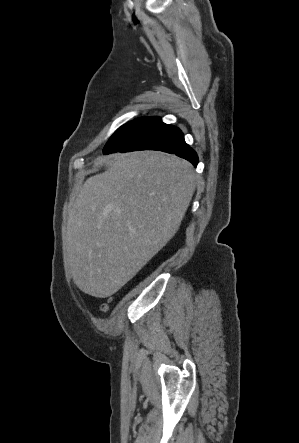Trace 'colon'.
Segmentation results:
<instances>
[{"label":"colon","instance_id":"obj_1","mask_svg":"<svg viewBox=\"0 0 299 443\" xmlns=\"http://www.w3.org/2000/svg\"><path fill=\"white\" fill-rule=\"evenodd\" d=\"M108 309V305L107 304H104L103 306H102V310L103 311H106Z\"/></svg>","mask_w":299,"mask_h":443}]
</instances>
